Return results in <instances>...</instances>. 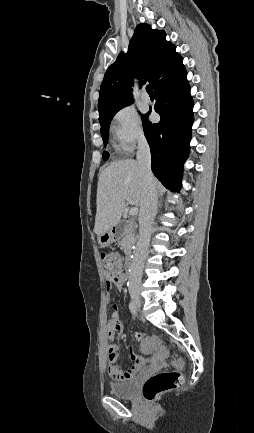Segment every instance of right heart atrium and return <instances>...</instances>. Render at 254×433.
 <instances>
[{
    "mask_svg": "<svg viewBox=\"0 0 254 433\" xmlns=\"http://www.w3.org/2000/svg\"><path fill=\"white\" fill-rule=\"evenodd\" d=\"M110 131L118 150L131 153L145 141V133L137 112L131 107L119 109L112 117Z\"/></svg>",
    "mask_w": 254,
    "mask_h": 433,
    "instance_id": "obj_1",
    "label": "right heart atrium"
}]
</instances>
